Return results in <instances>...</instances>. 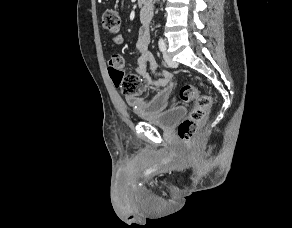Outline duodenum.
<instances>
[{
  "label": "duodenum",
  "instance_id": "410a0bca",
  "mask_svg": "<svg viewBox=\"0 0 292 228\" xmlns=\"http://www.w3.org/2000/svg\"><path fill=\"white\" fill-rule=\"evenodd\" d=\"M141 5L144 7H149L151 5L152 0H139Z\"/></svg>",
  "mask_w": 292,
  "mask_h": 228
}]
</instances>
